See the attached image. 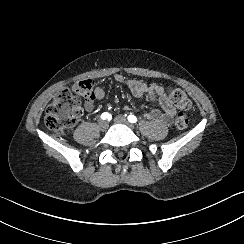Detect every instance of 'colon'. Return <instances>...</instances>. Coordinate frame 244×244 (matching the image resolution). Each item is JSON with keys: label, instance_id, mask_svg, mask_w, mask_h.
Segmentation results:
<instances>
[{"label": "colon", "instance_id": "colon-1", "mask_svg": "<svg viewBox=\"0 0 244 244\" xmlns=\"http://www.w3.org/2000/svg\"><path fill=\"white\" fill-rule=\"evenodd\" d=\"M93 84L91 79H83L62 89L47 108L46 126L60 133L73 128L79 119L82 99L93 96ZM168 97L170 102L181 110L174 119V126L178 130H185L188 126L185 111H189L192 107L190 99L179 89H169Z\"/></svg>", "mask_w": 244, "mask_h": 244}]
</instances>
